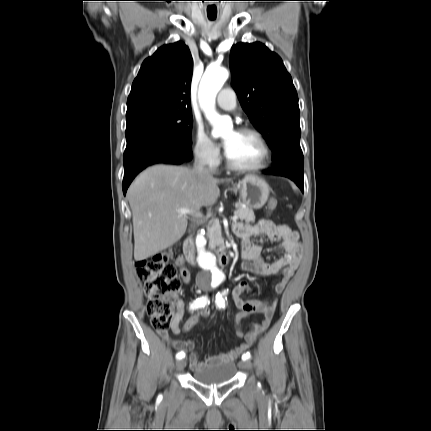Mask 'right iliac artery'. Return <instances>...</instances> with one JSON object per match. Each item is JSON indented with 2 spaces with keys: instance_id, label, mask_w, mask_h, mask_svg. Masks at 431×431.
<instances>
[{
  "instance_id": "1",
  "label": "right iliac artery",
  "mask_w": 431,
  "mask_h": 431,
  "mask_svg": "<svg viewBox=\"0 0 431 431\" xmlns=\"http://www.w3.org/2000/svg\"><path fill=\"white\" fill-rule=\"evenodd\" d=\"M207 302H208L207 297H204V296L200 297L196 301H194L193 303H191L190 309L194 310V309L200 308V307L206 305ZM184 357H185V354L183 352H178L176 354V358L177 359H182Z\"/></svg>"
}]
</instances>
